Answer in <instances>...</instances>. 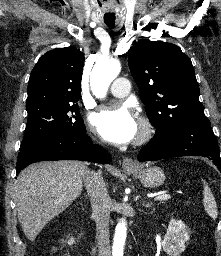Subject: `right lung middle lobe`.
Instances as JSON below:
<instances>
[{
  "instance_id": "1",
  "label": "right lung middle lobe",
  "mask_w": 221,
  "mask_h": 256,
  "mask_svg": "<svg viewBox=\"0 0 221 256\" xmlns=\"http://www.w3.org/2000/svg\"><path fill=\"white\" fill-rule=\"evenodd\" d=\"M28 111V121L21 145L53 132L86 130L78 106L74 104H42Z\"/></svg>"
}]
</instances>
